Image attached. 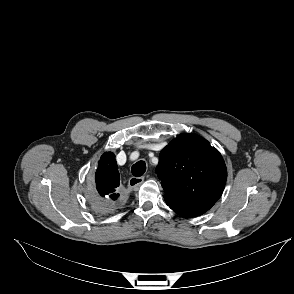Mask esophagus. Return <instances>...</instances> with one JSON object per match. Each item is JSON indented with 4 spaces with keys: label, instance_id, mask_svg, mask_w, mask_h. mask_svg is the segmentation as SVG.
Wrapping results in <instances>:
<instances>
[{
    "label": "esophagus",
    "instance_id": "34e87169",
    "mask_svg": "<svg viewBox=\"0 0 294 294\" xmlns=\"http://www.w3.org/2000/svg\"><path fill=\"white\" fill-rule=\"evenodd\" d=\"M144 182V177H131L129 179L128 185L133 188V189H137L138 187H140V185Z\"/></svg>",
    "mask_w": 294,
    "mask_h": 294
}]
</instances>
